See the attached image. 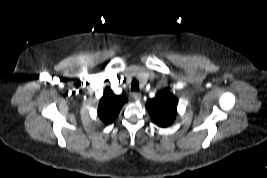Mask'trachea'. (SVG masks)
Instances as JSON below:
<instances>
[{
    "label": "trachea",
    "mask_w": 267,
    "mask_h": 178,
    "mask_svg": "<svg viewBox=\"0 0 267 178\" xmlns=\"http://www.w3.org/2000/svg\"><path fill=\"white\" fill-rule=\"evenodd\" d=\"M131 91H139V83L137 81H133Z\"/></svg>",
    "instance_id": "3493384b"
}]
</instances>
